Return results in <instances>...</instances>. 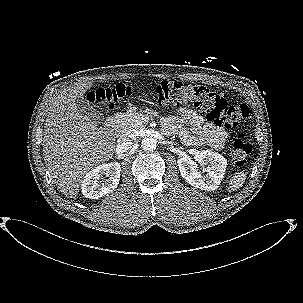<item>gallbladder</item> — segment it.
Wrapping results in <instances>:
<instances>
[{
  "mask_svg": "<svg viewBox=\"0 0 303 303\" xmlns=\"http://www.w3.org/2000/svg\"><path fill=\"white\" fill-rule=\"evenodd\" d=\"M75 104L78 111L82 115L89 117L92 121L101 122L103 119V115L100 112L96 111L93 106L90 105L89 101L84 97L77 98Z\"/></svg>",
  "mask_w": 303,
  "mask_h": 303,
  "instance_id": "gallbladder-1",
  "label": "gallbladder"
}]
</instances>
